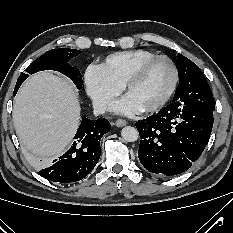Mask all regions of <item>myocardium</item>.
Wrapping results in <instances>:
<instances>
[{"mask_svg": "<svg viewBox=\"0 0 233 233\" xmlns=\"http://www.w3.org/2000/svg\"><path fill=\"white\" fill-rule=\"evenodd\" d=\"M158 60H166L173 71V78H172V82L167 90V92L163 95V97L157 101L156 103L143 108L142 111L144 112H153L156 111L160 108H162L172 97V95L174 94L178 81H179V71L178 68L175 64V62L168 56L166 55H155L154 57H151L145 61H143L142 63H140L131 73L130 75L127 77L123 87H124V91L126 92V94L128 93L130 87L136 82L138 81L141 76L144 74V72L146 71V69L154 62L158 61Z\"/></svg>", "mask_w": 233, "mask_h": 233, "instance_id": "1", "label": "myocardium"}]
</instances>
